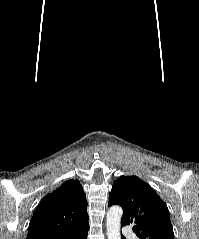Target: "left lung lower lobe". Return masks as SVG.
Segmentation results:
<instances>
[{
  "label": "left lung lower lobe",
  "instance_id": "obj_1",
  "mask_svg": "<svg viewBox=\"0 0 199 239\" xmlns=\"http://www.w3.org/2000/svg\"><path fill=\"white\" fill-rule=\"evenodd\" d=\"M122 239H125V237H124V236H122Z\"/></svg>",
  "mask_w": 199,
  "mask_h": 239
}]
</instances>
